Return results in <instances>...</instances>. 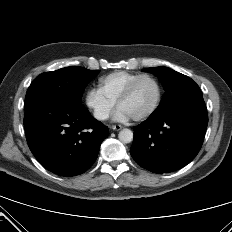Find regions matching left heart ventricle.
Instances as JSON below:
<instances>
[{"label":"left heart ventricle","mask_w":232,"mask_h":232,"mask_svg":"<svg viewBox=\"0 0 232 232\" xmlns=\"http://www.w3.org/2000/svg\"><path fill=\"white\" fill-rule=\"evenodd\" d=\"M157 96L155 84L149 79H143L137 85L133 95L123 102L120 108L128 112L132 118L148 111L154 104Z\"/></svg>","instance_id":"b2bd125f"}]
</instances>
